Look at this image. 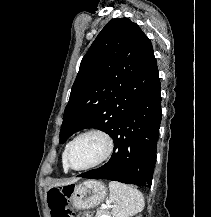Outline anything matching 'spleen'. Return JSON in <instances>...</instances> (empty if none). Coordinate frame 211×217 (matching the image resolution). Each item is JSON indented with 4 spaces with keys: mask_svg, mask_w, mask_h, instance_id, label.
<instances>
[{
    "mask_svg": "<svg viewBox=\"0 0 211 217\" xmlns=\"http://www.w3.org/2000/svg\"><path fill=\"white\" fill-rule=\"evenodd\" d=\"M110 202L113 217H130L144 208V198L140 191L117 181L109 182Z\"/></svg>",
    "mask_w": 211,
    "mask_h": 217,
    "instance_id": "1",
    "label": "spleen"
}]
</instances>
